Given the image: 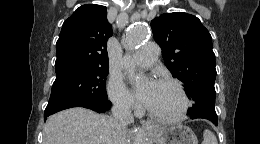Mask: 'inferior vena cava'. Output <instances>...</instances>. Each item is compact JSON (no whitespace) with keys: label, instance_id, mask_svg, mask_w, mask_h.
<instances>
[{"label":"inferior vena cava","instance_id":"inferior-vena-cava-1","mask_svg":"<svg viewBox=\"0 0 260 144\" xmlns=\"http://www.w3.org/2000/svg\"><path fill=\"white\" fill-rule=\"evenodd\" d=\"M112 116L118 130H125L126 127L134 122V117L131 113V108L128 101L119 99L116 100L112 107Z\"/></svg>","mask_w":260,"mask_h":144}]
</instances>
